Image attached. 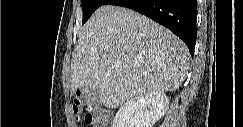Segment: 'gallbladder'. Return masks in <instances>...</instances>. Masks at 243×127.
<instances>
[{
	"mask_svg": "<svg viewBox=\"0 0 243 127\" xmlns=\"http://www.w3.org/2000/svg\"><path fill=\"white\" fill-rule=\"evenodd\" d=\"M96 93V91H93V94H95Z\"/></svg>",
	"mask_w": 243,
	"mask_h": 127,
	"instance_id": "obj_1",
	"label": "gallbladder"
}]
</instances>
